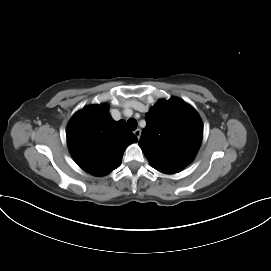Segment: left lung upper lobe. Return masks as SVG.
Returning a JSON list of instances; mask_svg holds the SVG:
<instances>
[{
  "label": "left lung upper lobe",
  "instance_id": "5c2ea615",
  "mask_svg": "<svg viewBox=\"0 0 271 271\" xmlns=\"http://www.w3.org/2000/svg\"><path fill=\"white\" fill-rule=\"evenodd\" d=\"M139 145L158 171L177 173L195 157L202 140L198 113L179 98L159 100L145 116Z\"/></svg>",
  "mask_w": 271,
  "mask_h": 271
}]
</instances>
